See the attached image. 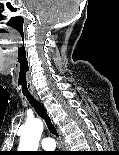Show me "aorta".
I'll list each match as a JSON object with an SVG mask.
<instances>
[{"label":"aorta","mask_w":119,"mask_h":155,"mask_svg":"<svg viewBox=\"0 0 119 155\" xmlns=\"http://www.w3.org/2000/svg\"><path fill=\"white\" fill-rule=\"evenodd\" d=\"M43 131L40 119H32L22 127V136L19 144L20 151H37L39 140Z\"/></svg>","instance_id":"1"}]
</instances>
